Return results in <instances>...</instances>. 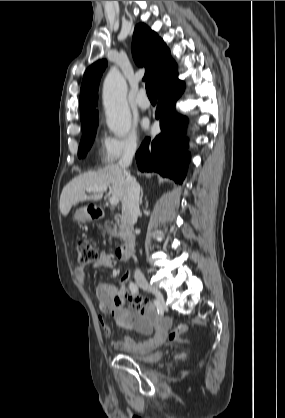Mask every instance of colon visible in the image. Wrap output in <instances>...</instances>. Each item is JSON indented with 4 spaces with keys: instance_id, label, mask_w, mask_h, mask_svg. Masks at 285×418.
I'll return each mask as SVG.
<instances>
[{
    "instance_id": "1",
    "label": "colon",
    "mask_w": 285,
    "mask_h": 418,
    "mask_svg": "<svg viewBox=\"0 0 285 418\" xmlns=\"http://www.w3.org/2000/svg\"><path fill=\"white\" fill-rule=\"evenodd\" d=\"M75 251L78 262L81 265H86L93 261L97 252L94 245L87 237H80L75 241ZM188 326L184 322L178 323L172 330L168 332L167 340L170 342H181V336L186 333Z\"/></svg>"
}]
</instances>
